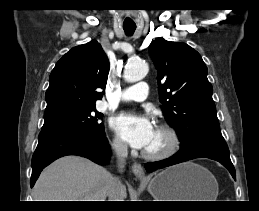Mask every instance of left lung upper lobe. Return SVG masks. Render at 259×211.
Returning a JSON list of instances; mask_svg holds the SVG:
<instances>
[{
	"label": "left lung upper lobe",
	"mask_w": 259,
	"mask_h": 211,
	"mask_svg": "<svg viewBox=\"0 0 259 211\" xmlns=\"http://www.w3.org/2000/svg\"><path fill=\"white\" fill-rule=\"evenodd\" d=\"M158 75L159 99L181 149L201 138L225 141L212 99L208 69L200 54L185 43L158 38L149 46Z\"/></svg>",
	"instance_id": "1"
}]
</instances>
